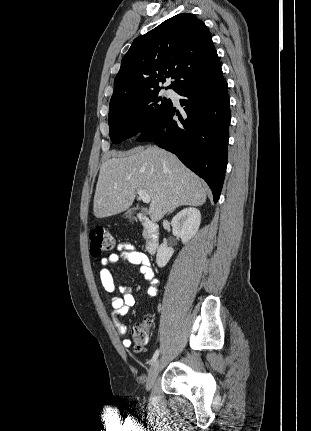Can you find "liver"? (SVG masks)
<instances>
[{"label": "liver", "mask_w": 311, "mask_h": 431, "mask_svg": "<svg viewBox=\"0 0 311 431\" xmlns=\"http://www.w3.org/2000/svg\"><path fill=\"white\" fill-rule=\"evenodd\" d=\"M137 190L151 198L148 214L159 221L179 206H203L209 188L177 156L158 146H137L103 162L93 200L95 217H110L131 208Z\"/></svg>", "instance_id": "1"}]
</instances>
